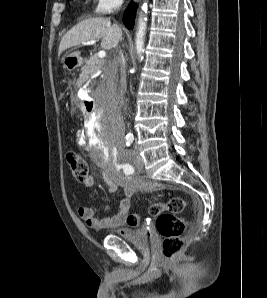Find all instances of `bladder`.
Returning <instances> with one entry per match:
<instances>
[{"label":"bladder","instance_id":"1","mask_svg":"<svg viewBox=\"0 0 267 298\" xmlns=\"http://www.w3.org/2000/svg\"><path fill=\"white\" fill-rule=\"evenodd\" d=\"M119 236L123 240L143 250L149 249L155 242V234L150 225L127 231L126 233L119 234Z\"/></svg>","mask_w":267,"mask_h":298}]
</instances>
